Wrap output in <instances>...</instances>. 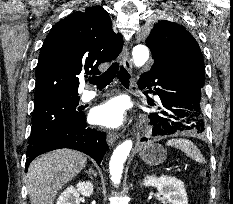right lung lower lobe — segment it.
<instances>
[{"label": "right lung lower lobe", "instance_id": "obj_1", "mask_svg": "<svg viewBox=\"0 0 233 204\" xmlns=\"http://www.w3.org/2000/svg\"><path fill=\"white\" fill-rule=\"evenodd\" d=\"M106 134L87 127L85 113L76 120L65 125L33 146L27 148V160L25 170L27 171L31 161L38 155L51 150L70 148L81 151L91 156L97 164L103 159L107 151L105 142Z\"/></svg>", "mask_w": 233, "mask_h": 204}]
</instances>
